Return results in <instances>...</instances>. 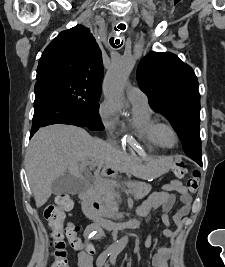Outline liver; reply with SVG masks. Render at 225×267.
Returning a JSON list of instances; mask_svg holds the SVG:
<instances>
[{"mask_svg": "<svg viewBox=\"0 0 225 267\" xmlns=\"http://www.w3.org/2000/svg\"><path fill=\"white\" fill-rule=\"evenodd\" d=\"M130 172L146 178L149 171L111 144L91 137L84 129L66 124L40 128L27 149L24 164L36 207H42L52 194L53 182L66 172L84 179L79 164Z\"/></svg>", "mask_w": 225, "mask_h": 267, "instance_id": "6515ba94", "label": "liver"}]
</instances>
